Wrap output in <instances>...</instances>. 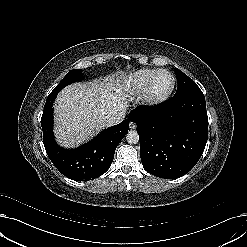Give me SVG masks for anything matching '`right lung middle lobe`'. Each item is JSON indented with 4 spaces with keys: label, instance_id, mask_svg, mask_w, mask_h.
<instances>
[{
    "label": "right lung middle lobe",
    "instance_id": "1",
    "mask_svg": "<svg viewBox=\"0 0 247 247\" xmlns=\"http://www.w3.org/2000/svg\"><path fill=\"white\" fill-rule=\"evenodd\" d=\"M82 78V71L80 69H73L69 71L65 77L61 80V82L54 88V92H59L65 86L79 81Z\"/></svg>",
    "mask_w": 247,
    "mask_h": 247
}]
</instances>
